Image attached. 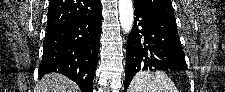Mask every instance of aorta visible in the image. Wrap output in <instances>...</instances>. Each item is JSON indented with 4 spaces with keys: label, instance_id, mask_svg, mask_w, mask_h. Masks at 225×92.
Instances as JSON below:
<instances>
[{
    "label": "aorta",
    "instance_id": "aorta-1",
    "mask_svg": "<svg viewBox=\"0 0 225 92\" xmlns=\"http://www.w3.org/2000/svg\"><path fill=\"white\" fill-rule=\"evenodd\" d=\"M119 17L123 31L129 33L133 25V1L119 0Z\"/></svg>",
    "mask_w": 225,
    "mask_h": 92
}]
</instances>
